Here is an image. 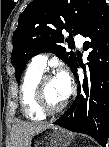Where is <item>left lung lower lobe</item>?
Masks as SVG:
<instances>
[{
  "label": "left lung lower lobe",
  "instance_id": "left-lung-lower-lobe-1",
  "mask_svg": "<svg viewBox=\"0 0 109 147\" xmlns=\"http://www.w3.org/2000/svg\"><path fill=\"white\" fill-rule=\"evenodd\" d=\"M81 35L88 38L84 50L88 56V75L99 73L103 84L95 91L89 78L80 79L77 62L73 73L78 82V93L72 106L53 124L73 132L93 137L101 146H106L109 136V8L104 2Z\"/></svg>",
  "mask_w": 109,
  "mask_h": 147
}]
</instances>
